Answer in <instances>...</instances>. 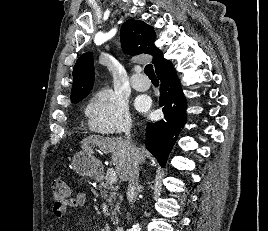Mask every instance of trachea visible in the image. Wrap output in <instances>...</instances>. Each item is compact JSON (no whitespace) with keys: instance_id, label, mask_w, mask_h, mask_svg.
Listing matches in <instances>:
<instances>
[{"instance_id":"obj_1","label":"trachea","mask_w":268,"mask_h":231,"mask_svg":"<svg viewBox=\"0 0 268 231\" xmlns=\"http://www.w3.org/2000/svg\"><path fill=\"white\" fill-rule=\"evenodd\" d=\"M144 73L149 77V78H156V75L153 70V66L151 64L146 65L144 68Z\"/></svg>"}]
</instances>
